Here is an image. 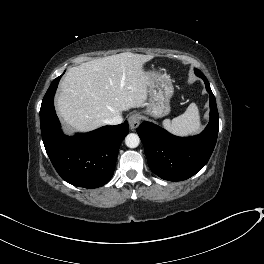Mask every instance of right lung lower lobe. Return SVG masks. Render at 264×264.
I'll list each match as a JSON object with an SVG mask.
<instances>
[{
    "label": "right lung lower lobe",
    "instance_id": "1",
    "mask_svg": "<svg viewBox=\"0 0 264 264\" xmlns=\"http://www.w3.org/2000/svg\"><path fill=\"white\" fill-rule=\"evenodd\" d=\"M61 76L53 80L40 109L41 134L46 152L62 179L84 188H97L113 176L120 144L128 123L65 136L54 109V95Z\"/></svg>",
    "mask_w": 264,
    "mask_h": 264
}]
</instances>
